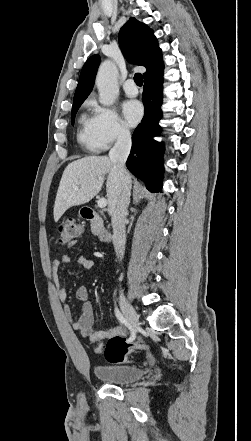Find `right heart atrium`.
<instances>
[{
  "mask_svg": "<svg viewBox=\"0 0 251 441\" xmlns=\"http://www.w3.org/2000/svg\"><path fill=\"white\" fill-rule=\"evenodd\" d=\"M91 106L93 132L101 149H106L114 142L129 137L130 131L115 109L100 106L95 102H92Z\"/></svg>",
  "mask_w": 251,
  "mask_h": 441,
  "instance_id": "right-heart-atrium-1",
  "label": "right heart atrium"
}]
</instances>
